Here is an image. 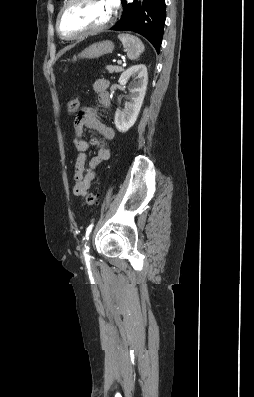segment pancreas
I'll list each match as a JSON object with an SVG mask.
<instances>
[{
    "label": "pancreas",
    "instance_id": "obj_1",
    "mask_svg": "<svg viewBox=\"0 0 254 397\" xmlns=\"http://www.w3.org/2000/svg\"><path fill=\"white\" fill-rule=\"evenodd\" d=\"M106 69H107V71L109 72V73H119V72H122L124 69L122 68V67H120V66H113V65H108L107 67H106Z\"/></svg>",
    "mask_w": 254,
    "mask_h": 397
}]
</instances>
